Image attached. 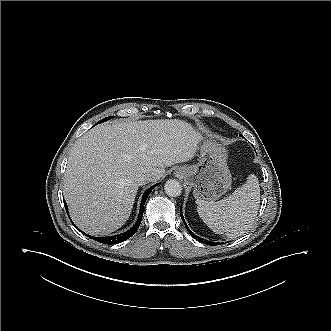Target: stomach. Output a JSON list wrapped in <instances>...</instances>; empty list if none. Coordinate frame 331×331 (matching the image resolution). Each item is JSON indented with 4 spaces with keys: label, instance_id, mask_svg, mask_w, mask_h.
<instances>
[{
    "label": "stomach",
    "instance_id": "1",
    "mask_svg": "<svg viewBox=\"0 0 331 331\" xmlns=\"http://www.w3.org/2000/svg\"><path fill=\"white\" fill-rule=\"evenodd\" d=\"M227 157V150L222 145L207 140L200 147L198 164L178 167L175 174L193 188V196L197 201H215L231 186Z\"/></svg>",
    "mask_w": 331,
    "mask_h": 331
}]
</instances>
